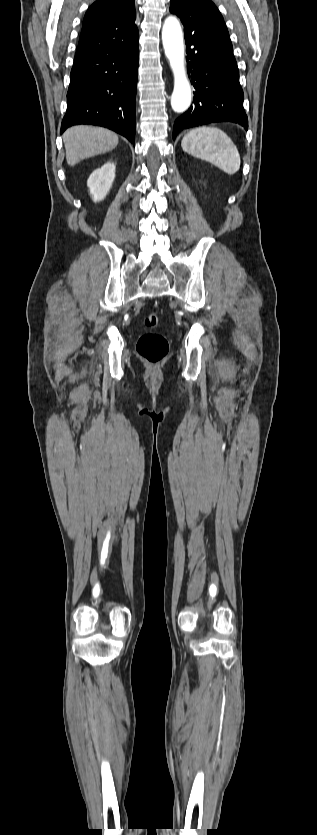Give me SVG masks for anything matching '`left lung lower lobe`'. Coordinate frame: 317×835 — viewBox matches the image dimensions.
Segmentation results:
<instances>
[{
  "instance_id": "1",
  "label": "left lung lower lobe",
  "mask_w": 317,
  "mask_h": 835,
  "mask_svg": "<svg viewBox=\"0 0 317 835\" xmlns=\"http://www.w3.org/2000/svg\"><path fill=\"white\" fill-rule=\"evenodd\" d=\"M184 34L188 75L195 88L194 106L176 119L173 139L183 129L216 122L238 123L247 130L244 94L224 21L193 18Z\"/></svg>"
}]
</instances>
